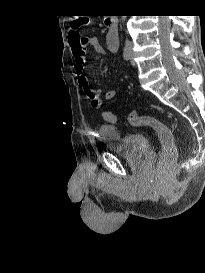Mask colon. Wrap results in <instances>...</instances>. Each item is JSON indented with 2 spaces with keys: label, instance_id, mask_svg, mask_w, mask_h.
I'll return each instance as SVG.
<instances>
[{
  "label": "colon",
  "instance_id": "5ec220e1",
  "mask_svg": "<svg viewBox=\"0 0 205 273\" xmlns=\"http://www.w3.org/2000/svg\"><path fill=\"white\" fill-rule=\"evenodd\" d=\"M86 24L87 19L85 17L78 16L73 19L70 29V38L72 41L84 45V38L81 36L80 31ZM105 119L109 122L115 121L114 115L110 112L106 113ZM128 121L132 126L150 127L156 131L162 145L159 169L170 170L178 156L172 131L158 119L147 115H139L135 111L129 113Z\"/></svg>",
  "mask_w": 205,
  "mask_h": 273
}]
</instances>
